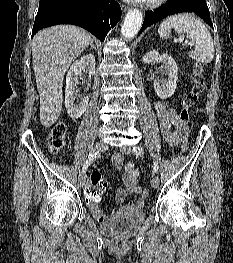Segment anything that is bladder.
Here are the masks:
<instances>
[{
  "instance_id": "31cf9c89",
  "label": "bladder",
  "mask_w": 233,
  "mask_h": 263,
  "mask_svg": "<svg viewBox=\"0 0 233 263\" xmlns=\"http://www.w3.org/2000/svg\"><path fill=\"white\" fill-rule=\"evenodd\" d=\"M146 218L142 209L121 208L99 225L102 234L113 238H127L136 233Z\"/></svg>"
}]
</instances>
